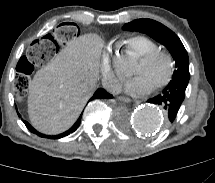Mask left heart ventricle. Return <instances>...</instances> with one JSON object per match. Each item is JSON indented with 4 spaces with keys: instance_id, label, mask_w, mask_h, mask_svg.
Returning <instances> with one entry per match:
<instances>
[{
    "instance_id": "obj_1",
    "label": "left heart ventricle",
    "mask_w": 215,
    "mask_h": 183,
    "mask_svg": "<svg viewBox=\"0 0 215 183\" xmlns=\"http://www.w3.org/2000/svg\"><path fill=\"white\" fill-rule=\"evenodd\" d=\"M167 71V62L163 58H157L150 63H144L139 60L133 73L136 75H144L153 87L155 84L164 79Z\"/></svg>"
}]
</instances>
